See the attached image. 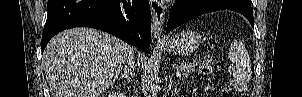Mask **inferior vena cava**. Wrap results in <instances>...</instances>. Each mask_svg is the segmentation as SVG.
<instances>
[{"mask_svg": "<svg viewBox=\"0 0 302 97\" xmlns=\"http://www.w3.org/2000/svg\"><path fill=\"white\" fill-rule=\"evenodd\" d=\"M127 64L131 69L134 68V54H133L132 49H130V48L128 51Z\"/></svg>", "mask_w": 302, "mask_h": 97, "instance_id": "602c4592", "label": "inferior vena cava"}]
</instances>
